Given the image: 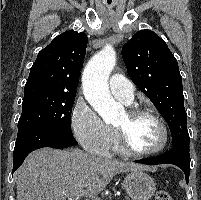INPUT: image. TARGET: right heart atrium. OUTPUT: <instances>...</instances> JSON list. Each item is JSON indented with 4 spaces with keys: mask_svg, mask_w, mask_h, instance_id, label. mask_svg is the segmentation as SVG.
Masks as SVG:
<instances>
[{
    "mask_svg": "<svg viewBox=\"0 0 201 200\" xmlns=\"http://www.w3.org/2000/svg\"><path fill=\"white\" fill-rule=\"evenodd\" d=\"M71 125L75 138L86 151L99 156L108 153L114 131L89 104L81 101L75 105Z\"/></svg>",
    "mask_w": 201,
    "mask_h": 200,
    "instance_id": "obj_1",
    "label": "right heart atrium"
}]
</instances>
